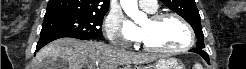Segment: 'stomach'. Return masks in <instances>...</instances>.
Here are the masks:
<instances>
[{
    "instance_id": "stomach-1",
    "label": "stomach",
    "mask_w": 246,
    "mask_h": 69,
    "mask_svg": "<svg viewBox=\"0 0 246 69\" xmlns=\"http://www.w3.org/2000/svg\"><path fill=\"white\" fill-rule=\"evenodd\" d=\"M149 69H185L175 58H161Z\"/></svg>"
}]
</instances>
